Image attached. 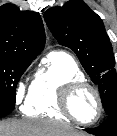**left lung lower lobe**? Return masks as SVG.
I'll use <instances>...</instances> for the list:
<instances>
[{
    "label": "left lung lower lobe",
    "instance_id": "0a47b994",
    "mask_svg": "<svg viewBox=\"0 0 117 136\" xmlns=\"http://www.w3.org/2000/svg\"><path fill=\"white\" fill-rule=\"evenodd\" d=\"M85 131L96 136H117V111L109 115V118L100 126L88 128Z\"/></svg>",
    "mask_w": 117,
    "mask_h": 136
}]
</instances>
